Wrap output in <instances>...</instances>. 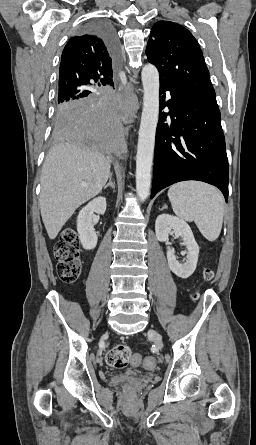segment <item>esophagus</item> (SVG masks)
Returning <instances> with one entry per match:
<instances>
[{
	"instance_id": "esophagus-1",
	"label": "esophagus",
	"mask_w": 256,
	"mask_h": 445,
	"mask_svg": "<svg viewBox=\"0 0 256 445\" xmlns=\"http://www.w3.org/2000/svg\"><path fill=\"white\" fill-rule=\"evenodd\" d=\"M127 102H128L129 122L131 123L134 121L137 110L139 108L138 99L136 94L134 93L133 86L131 83L128 85Z\"/></svg>"
}]
</instances>
